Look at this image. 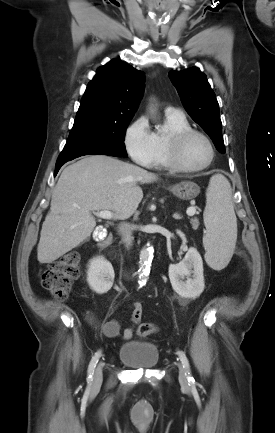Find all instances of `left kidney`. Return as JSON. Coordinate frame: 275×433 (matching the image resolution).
<instances>
[{"label":"left kidney","mask_w":275,"mask_h":433,"mask_svg":"<svg viewBox=\"0 0 275 433\" xmlns=\"http://www.w3.org/2000/svg\"><path fill=\"white\" fill-rule=\"evenodd\" d=\"M168 272L172 288L181 297L195 299L203 292V261L197 249L189 248L181 262L170 264ZM191 274L192 279L189 278ZM184 277H187L186 281L182 280Z\"/></svg>","instance_id":"1"}]
</instances>
